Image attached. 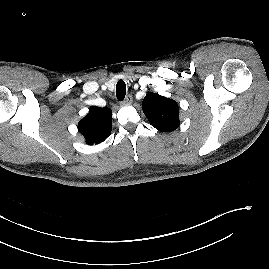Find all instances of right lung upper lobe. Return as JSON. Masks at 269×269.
Returning a JSON list of instances; mask_svg holds the SVG:
<instances>
[{
	"label": "right lung upper lobe",
	"instance_id": "obj_1",
	"mask_svg": "<svg viewBox=\"0 0 269 269\" xmlns=\"http://www.w3.org/2000/svg\"><path fill=\"white\" fill-rule=\"evenodd\" d=\"M78 130L85 137L87 144L103 142L111 134V110L107 107H91L89 113L79 122Z\"/></svg>",
	"mask_w": 269,
	"mask_h": 269
}]
</instances>
